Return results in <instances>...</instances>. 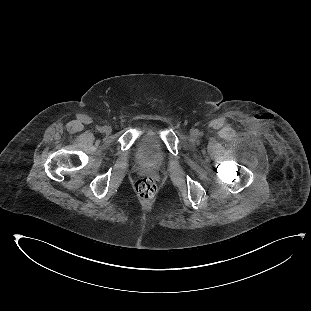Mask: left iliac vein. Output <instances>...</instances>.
Instances as JSON below:
<instances>
[{
  "label": "left iliac vein",
  "mask_w": 311,
  "mask_h": 311,
  "mask_svg": "<svg viewBox=\"0 0 311 311\" xmlns=\"http://www.w3.org/2000/svg\"><path fill=\"white\" fill-rule=\"evenodd\" d=\"M196 135H197V132H196L195 130H192V131H191V137L194 138V137H196Z\"/></svg>",
  "instance_id": "4c4485c4"
}]
</instances>
